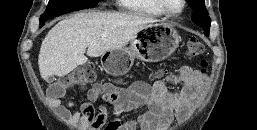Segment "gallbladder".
<instances>
[{"mask_svg":"<svg viewBox=\"0 0 257 130\" xmlns=\"http://www.w3.org/2000/svg\"><path fill=\"white\" fill-rule=\"evenodd\" d=\"M54 81V77L53 76H50L48 79H47V82L48 83H51V82H53Z\"/></svg>","mask_w":257,"mask_h":130,"instance_id":"gallbladder-1","label":"gallbladder"}]
</instances>
